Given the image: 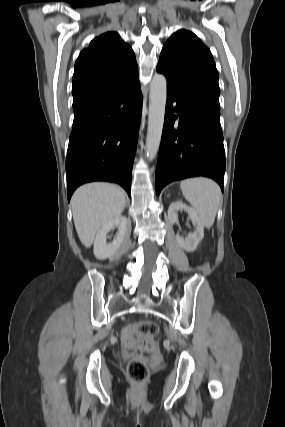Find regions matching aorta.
I'll use <instances>...</instances> for the list:
<instances>
[{
  "label": "aorta",
  "mask_w": 285,
  "mask_h": 427,
  "mask_svg": "<svg viewBox=\"0 0 285 427\" xmlns=\"http://www.w3.org/2000/svg\"><path fill=\"white\" fill-rule=\"evenodd\" d=\"M167 83L162 74H155L150 84L146 156L153 160L158 152L165 116Z\"/></svg>",
  "instance_id": "1"
}]
</instances>
